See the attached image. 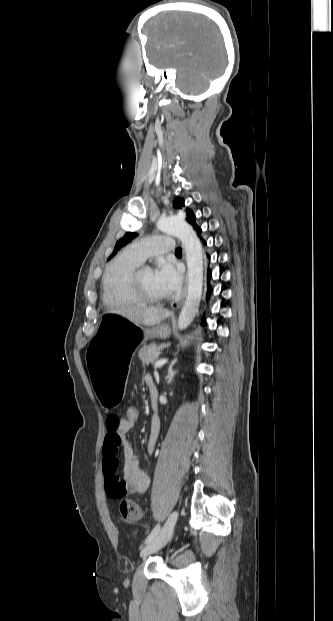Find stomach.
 <instances>
[{"instance_id":"obj_1","label":"stomach","mask_w":333,"mask_h":621,"mask_svg":"<svg viewBox=\"0 0 333 621\" xmlns=\"http://www.w3.org/2000/svg\"><path fill=\"white\" fill-rule=\"evenodd\" d=\"M153 337L149 328L133 323L129 314H106L86 346V370L95 395L107 412L119 409L128 389L131 355L141 342ZM166 339V338H162Z\"/></svg>"}]
</instances>
